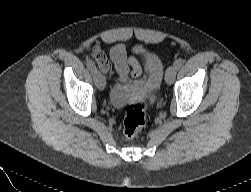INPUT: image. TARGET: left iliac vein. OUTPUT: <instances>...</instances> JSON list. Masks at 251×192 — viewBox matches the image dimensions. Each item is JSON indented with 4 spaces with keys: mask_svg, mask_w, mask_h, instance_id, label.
Wrapping results in <instances>:
<instances>
[{
    "mask_svg": "<svg viewBox=\"0 0 251 192\" xmlns=\"http://www.w3.org/2000/svg\"><path fill=\"white\" fill-rule=\"evenodd\" d=\"M176 73H177V69L175 68V66H170L167 69V72L165 75V81L168 85H171L174 82Z\"/></svg>",
    "mask_w": 251,
    "mask_h": 192,
    "instance_id": "1",
    "label": "left iliac vein"
}]
</instances>
